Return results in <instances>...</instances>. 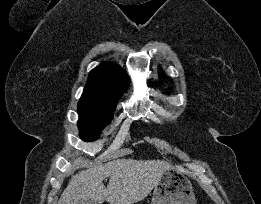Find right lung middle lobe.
<instances>
[{
    "label": "right lung middle lobe",
    "mask_w": 261,
    "mask_h": 204,
    "mask_svg": "<svg viewBox=\"0 0 261 204\" xmlns=\"http://www.w3.org/2000/svg\"><path fill=\"white\" fill-rule=\"evenodd\" d=\"M114 106H100L88 103L78 104L80 137L84 141H93L99 132L112 120Z\"/></svg>",
    "instance_id": "1"
}]
</instances>
